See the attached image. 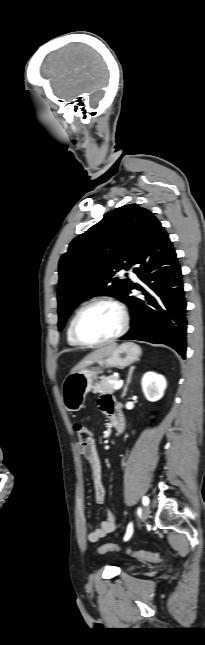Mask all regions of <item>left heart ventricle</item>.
I'll return each mask as SVG.
<instances>
[{
  "instance_id": "b2bd125f",
  "label": "left heart ventricle",
  "mask_w": 205,
  "mask_h": 645,
  "mask_svg": "<svg viewBox=\"0 0 205 645\" xmlns=\"http://www.w3.org/2000/svg\"><path fill=\"white\" fill-rule=\"evenodd\" d=\"M120 323V314L114 307L99 304L90 306L81 313L77 329L84 340L99 341L116 333Z\"/></svg>"
}]
</instances>
